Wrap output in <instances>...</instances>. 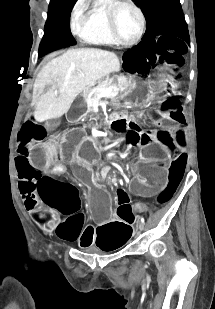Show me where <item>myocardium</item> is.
Masks as SVG:
<instances>
[{"label": "myocardium", "mask_w": 215, "mask_h": 309, "mask_svg": "<svg viewBox=\"0 0 215 309\" xmlns=\"http://www.w3.org/2000/svg\"><path fill=\"white\" fill-rule=\"evenodd\" d=\"M121 8L130 10L135 16V25H136L135 32L134 35L129 40L127 39L123 40L122 38L119 39L120 33L119 31H116L117 20L115 19V16L112 15L111 12V11L115 12L116 10ZM105 15L106 17L109 18V21L107 23L108 25L107 30H111L110 36L114 37L115 39V42L112 45L117 47H131L139 41L144 29V18L141 11L136 6L131 4H120L117 6H110V9H105Z\"/></svg>", "instance_id": "obj_1"}]
</instances>
